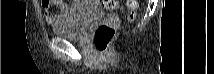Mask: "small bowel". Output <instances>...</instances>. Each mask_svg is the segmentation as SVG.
<instances>
[{
    "label": "small bowel",
    "mask_w": 214,
    "mask_h": 74,
    "mask_svg": "<svg viewBox=\"0 0 214 74\" xmlns=\"http://www.w3.org/2000/svg\"><path fill=\"white\" fill-rule=\"evenodd\" d=\"M53 6H58L61 12H64L68 8V6L60 1L42 0L41 7L43 10L44 18L46 22L51 25L54 24L58 19V16L52 12Z\"/></svg>",
    "instance_id": "small-bowel-1"
}]
</instances>
